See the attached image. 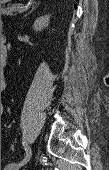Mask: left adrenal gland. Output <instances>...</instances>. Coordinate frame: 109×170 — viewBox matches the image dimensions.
I'll return each instance as SVG.
<instances>
[{
    "mask_svg": "<svg viewBox=\"0 0 109 170\" xmlns=\"http://www.w3.org/2000/svg\"><path fill=\"white\" fill-rule=\"evenodd\" d=\"M33 10H34V8H33L29 13H31ZM29 13H28V14H29Z\"/></svg>",
    "mask_w": 109,
    "mask_h": 170,
    "instance_id": "left-adrenal-gland-1",
    "label": "left adrenal gland"
}]
</instances>
